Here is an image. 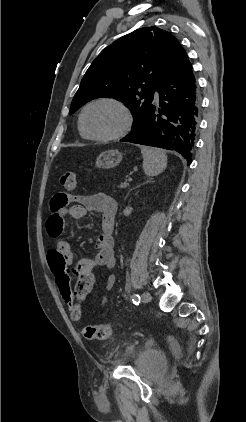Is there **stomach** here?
I'll use <instances>...</instances> for the list:
<instances>
[{"label":"stomach","instance_id":"stomach-1","mask_svg":"<svg viewBox=\"0 0 246 422\" xmlns=\"http://www.w3.org/2000/svg\"><path fill=\"white\" fill-rule=\"evenodd\" d=\"M122 158L123 155L118 150H108L97 157L96 166L103 169L113 168L122 161Z\"/></svg>","mask_w":246,"mask_h":422}]
</instances>
